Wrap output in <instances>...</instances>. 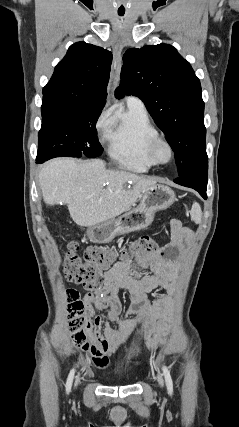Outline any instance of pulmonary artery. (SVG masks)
<instances>
[{"instance_id":"obj_1","label":"pulmonary artery","mask_w":239,"mask_h":427,"mask_svg":"<svg viewBox=\"0 0 239 427\" xmlns=\"http://www.w3.org/2000/svg\"><path fill=\"white\" fill-rule=\"evenodd\" d=\"M127 104L144 107L143 102L135 96H129L127 98Z\"/></svg>"}]
</instances>
